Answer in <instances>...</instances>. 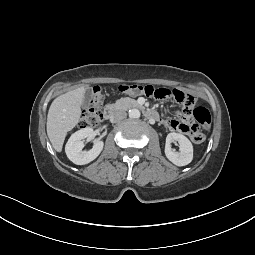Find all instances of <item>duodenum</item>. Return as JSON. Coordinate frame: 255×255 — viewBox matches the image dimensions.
<instances>
[{
    "label": "duodenum",
    "mask_w": 255,
    "mask_h": 255,
    "mask_svg": "<svg viewBox=\"0 0 255 255\" xmlns=\"http://www.w3.org/2000/svg\"><path fill=\"white\" fill-rule=\"evenodd\" d=\"M134 107H139L138 103H134ZM118 108L116 106H107L103 112V117L105 120H111L117 114ZM145 116L150 120H156L158 118L157 112L153 110H145Z\"/></svg>",
    "instance_id": "1"
}]
</instances>
